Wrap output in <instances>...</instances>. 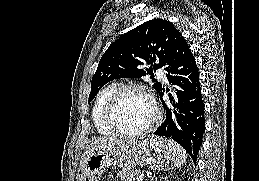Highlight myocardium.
<instances>
[{
	"instance_id": "myocardium-1",
	"label": "myocardium",
	"mask_w": 259,
	"mask_h": 181,
	"mask_svg": "<svg viewBox=\"0 0 259 181\" xmlns=\"http://www.w3.org/2000/svg\"><path fill=\"white\" fill-rule=\"evenodd\" d=\"M129 92H138L143 94L149 100L154 110V118L151 123L148 124L145 128L133 132L121 129L116 122V111L119 103L123 96ZM161 119L162 111L153 94L147 87L139 84H127L119 86L110 97L105 109V122L107 126L114 132V134L126 138H138L147 135L159 125Z\"/></svg>"
}]
</instances>
